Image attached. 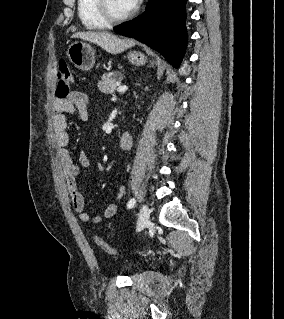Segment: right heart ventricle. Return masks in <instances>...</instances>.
<instances>
[{
  "label": "right heart ventricle",
  "mask_w": 284,
  "mask_h": 319,
  "mask_svg": "<svg viewBox=\"0 0 284 319\" xmlns=\"http://www.w3.org/2000/svg\"><path fill=\"white\" fill-rule=\"evenodd\" d=\"M78 16L87 29H104L108 22L98 9L97 0H77Z\"/></svg>",
  "instance_id": "e07e8e85"
}]
</instances>
